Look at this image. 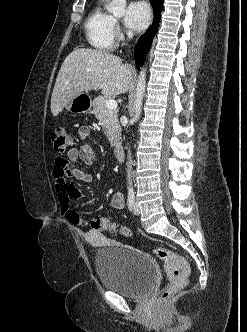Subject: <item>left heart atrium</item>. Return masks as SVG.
Returning <instances> with one entry per match:
<instances>
[{
	"label": "left heart atrium",
	"instance_id": "39dd6f15",
	"mask_svg": "<svg viewBox=\"0 0 247 332\" xmlns=\"http://www.w3.org/2000/svg\"><path fill=\"white\" fill-rule=\"evenodd\" d=\"M150 19V9L144 1L131 2L126 10L125 25L132 31L144 29Z\"/></svg>",
	"mask_w": 247,
	"mask_h": 332
}]
</instances>
